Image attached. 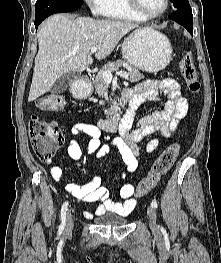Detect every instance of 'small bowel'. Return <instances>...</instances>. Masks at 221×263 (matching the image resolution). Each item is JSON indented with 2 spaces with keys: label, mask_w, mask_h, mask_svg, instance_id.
Returning a JSON list of instances; mask_svg holds the SVG:
<instances>
[{
  "label": "small bowel",
  "mask_w": 221,
  "mask_h": 263,
  "mask_svg": "<svg viewBox=\"0 0 221 263\" xmlns=\"http://www.w3.org/2000/svg\"><path fill=\"white\" fill-rule=\"evenodd\" d=\"M123 92L129 95L130 106L139 107L147 101H163L164 107L162 110L141 117L134 128H132V120L128 125H122L119 135L114 137L110 144L102 142L101 130L97 126L75 123L71 127V135L76 137L85 134L90 139L85 148L74 138L69 140L67 146L68 155L74 161H79L84 153L95 154L99 159L114 148L123 162L121 180H125L128 174L136 171L141 153L140 142L155 134L171 137L178 124L186 117L189 109L180 85L174 79L147 80L137 83L133 88L125 89ZM158 145V139L153 137L148 141L146 151L152 153L158 148ZM46 165H50V161H46ZM50 174L54 180L60 181L63 171L58 166H52ZM101 183V178L95 175L86 184L68 183L65 188L77 201L99 203L95 210L96 215L112 212L125 216L135 209L137 199L134 197L132 184H124L119 192L121 201H113L109 198L108 190ZM85 216L90 217L92 213L86 212Z\"/></svg>",
  "instance_id": "1"
}]
</instances>
